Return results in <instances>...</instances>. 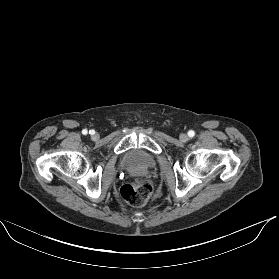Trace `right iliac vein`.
<instances>
[{"mask_svg": "<svg viewBox=\"0 0 279 279\" xmlns=\"http://www.w3.org/2000/svg\"><path fill=\"white\" fill-rule=\"evenodd\" d=\"M98 138V135L97 134H94L93 135V139H97Z\"/></svg>", "mask_w": 279, "mask_h": 279, "instance_id": "63e3f726", "label": "right iliac vein"}]
</instances>
